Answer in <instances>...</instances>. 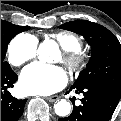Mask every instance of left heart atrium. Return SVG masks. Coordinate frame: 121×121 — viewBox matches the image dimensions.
Instances as JSON below:
<instances>
[{"instance_id":"39dd6f15","label":"left heart atrium","mask_w":121,"mask_h":121,"mask_svg":"<svg viewBox=\"0 0 121 121\" xmlns=\"http://www.w3.org/2000/svg\"><path fill=\"white\" fill-rule=\"evenodd\" d=\"M67 84V74L59 66L33 63L21 75V88L28 94L48 95L61 90Z\"/></svg>"}]
</instances>
